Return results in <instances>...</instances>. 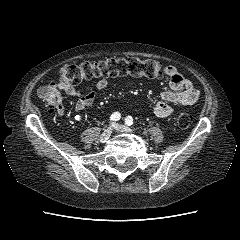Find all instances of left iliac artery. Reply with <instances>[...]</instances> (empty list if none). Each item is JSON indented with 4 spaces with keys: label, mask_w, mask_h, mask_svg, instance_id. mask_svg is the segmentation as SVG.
I'll use <instances>...</instances> for the list:
<instances>
[{
    "label": "left iliac artery",
    "mask_w": 240,
    "mask_h": 240,
    "mask_svg": "<svg viewBox=\"0 0 240 240\" xmlns=\"http://www.w3.org/2000/svg\"><path fill=\"white\" fill-rule=\"evenodd\" d=\"M125 124L127 126H131L133 124V118L131 116H128L125 118Z\"/></svg>",
    "instance_id": "obj_1"
}]
</instances>
